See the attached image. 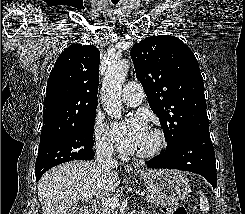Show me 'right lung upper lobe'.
<instances>
[{"label": "right lung upper lobe", "instance_id": "cb5924a9", "mask_svg": "<svg viewBox=\"0 0 245 214\" xmlns=\"http://www.w3.org/2000/svg\"><path fill=\"white\" fill-rule=\"evenodd\" d=\"M99 50L73 44L58 57L47 82L41 135L75 124L97 108Z\"/></svg>", "mask_w": 245, "mask_h": 214}]
</instances>
